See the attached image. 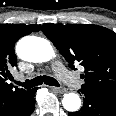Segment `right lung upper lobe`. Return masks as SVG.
I'll use <instances>...</instances> for the list:
<instances>
[{
	"label": "right lung upper lobe",
	"mask_w": 116,
	"mask_h": 116,
	"mask_svg": "<svg viewBox=\"0 0 116 116\" xmlns=\"http://www.w3.org/2000/svg\"><path fill=\"white\" fill-rule=\"evenodd\" d=\"M40 25H0V116H6L31 90L18 88L6 81L11 77L9 70L17 65L15 43L23 36L38 32Z\"/></svg>",
	"instance_id": "cb5924a9"
}]
</instances>
